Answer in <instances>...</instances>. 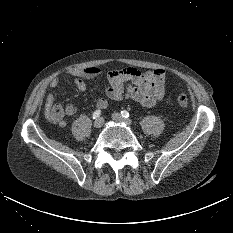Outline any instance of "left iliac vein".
<instances>
[{
    "label": "left iliac vein",
    "instance_id": "obj_1",
    "mask_svg": "<svg viewBox=\"0 0 233 233\" xmlns=\"http://www.w3.org/2000/svg\"><path fill=\"white\" fill-rule=\"evenodd\" d=\"M112 119L116 122H124L128 126H131V122L129 120L124 119L119 113H113Z\"/></svg>",
    "mask_w": 233,
    "mask_h": 233
}]
</instances>
